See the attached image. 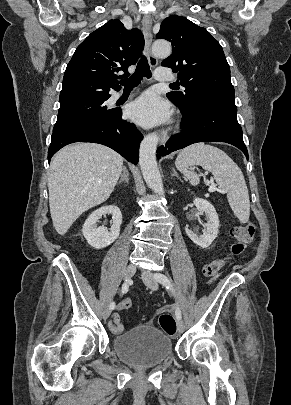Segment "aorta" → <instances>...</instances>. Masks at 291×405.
Returning a JSON list of instances; mask_svg holds the SVG:
<instances>
[{
    "label": "aorta",
    "instance_id": "aorta-1",
    "mask_svg": "<svg viewBox=\"0 0 291 405\" xmlns=\"http://www.w3.org/2000/svg\"><path fill=\"white\" fill-rule=\"evenodd\" d=\"M171 50V44L166 40H156L152 45V51L158 57H168ZM158 141L157 133H151L144 137L139 149V165L148 187L153 192L162 195L164 188L156 161Z\"/></svg>",
    "mask_w": 291,
    "mask_h": 405
}]
</instances>
